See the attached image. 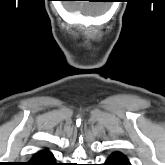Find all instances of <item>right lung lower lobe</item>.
<instances>
[{
  "label": "right lung lower lobe",
  "instance_id": "1",
  "mask_svg": "<svg viewBox=\"0 0 165 165\" xmlns=\"http://www.w3.org/2000/svg\"><path fill=\"white\" fill-rule=\"evenodd\" d=\"M27 165H58L55 158L48 151H40L36 153Z\"/></svg>",
  "mask_w": 165,
  "mask_h": 165
}]
</instances>
